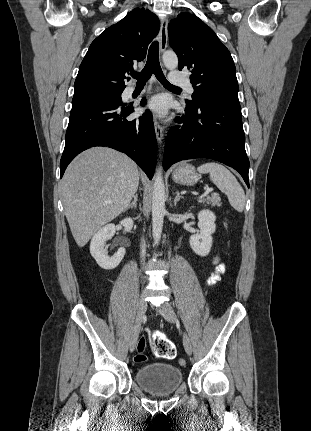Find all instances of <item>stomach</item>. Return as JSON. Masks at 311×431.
<instances>
[{
    "label": "stomach",
    "mask_w": 311,
    "mask_h": 431,
    "mask_svg": "<svg viewBox=\"0 0 311 431\" xmlns=\"http://www.w3.org/2000/svg\"><path fill=\"white\" fill-rule=\"evenodd\" d=\"M172 180L176 182V184H180V186H195L200 178L194 166L182 162V164H179L174 172H172Z\"/></svg>",
    "instance_id": "0dacf381"
}]
</instances>
